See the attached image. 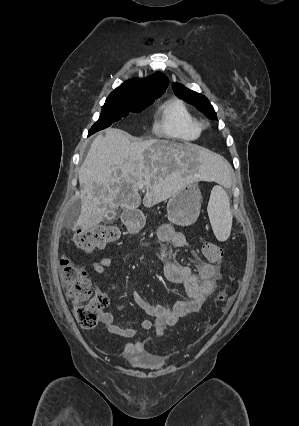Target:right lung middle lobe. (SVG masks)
<instances>
[{"instance_id": "obj_1", "label": "right lung middle lobe", "mask_w": 299, "mask_h": 426, "mask_svg": "<svg viewBox=\"0 0 299 426\" xmlns=\"http://www.w3.org/2000/svg\"><path fill=\"white\" fill-rule=\"evenodd\" d=\"M163 93L164 91L147 92L140 95L138 99L133 100L109 95L102 107L100 118L89 130V135L111 126L112 123L126 117L131 112H141Z\"/></svg>"}]
</instances>
